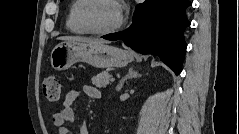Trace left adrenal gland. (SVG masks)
I'll return each mask as SVG.
<instances>
[{
    "label": "left adrenal gland",
    "mask_w": 239,
    "mask_h": 134,
    "mask_svg": "<svg viewBox=\"0 0 239 134\" xmlns=\"http://www.w3.org/2000/svg\"><path fill=\"white\" fill-rule=\"evenodd\" d=\"M141 76H142V75L139 74L138 71L134 70V68H129L127 75L124 76V77L120 80L119 84H118L117 87H116V90H117V91H120V90L122 89V87H123V84H124L128 79L139 78V77H141Z\"/></svg>",
    "instance_id": "obj_1"
}]
</instances>
